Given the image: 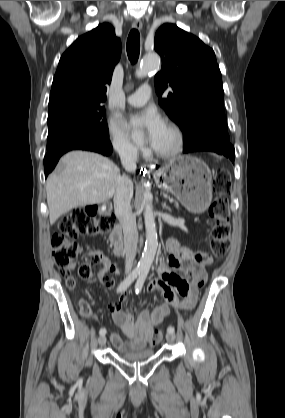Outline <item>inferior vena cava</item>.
Returning <instances> with one entry per match:
<instances>
[{
    "mask_svg": "<svg viewBox=\"0 0 285 418\" xmlns=\"http://www.w3.org/2000/svg\"><path fill=\"white\" fill-rule=\"evenodd\" d=\"M121 163L126 171H135L138 159V150L130 144L117 146ZM133 197V183L125 175L119 176L115 183L114 210L124 233L125 273H130L137 252L138 231L136 217L132 213L130 202Z\"/></svg>",
    "mask_w": 285,
    "mask_h": 418,
    "instance_id": "obj_1",
    "label": "inferior vena cava"
}]
</instances>
